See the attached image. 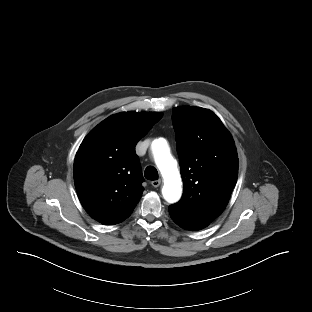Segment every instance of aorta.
Returning a JSON list of instances; mask_svg holds the SVG:
<instances>
[{
	"mask_svg": "<svg viewBox=\"0 0 312 312\" xmlns=\"http://www.w3.org/2000/svg\"><path fill=\"white\" fill-rule=\"evenodd\" d=\"M152 151L156 165L164 178L162 194L166 201L175 203L180 199L182 193V182L177 162L170 155L167 142L162 138L153 141Z\"/></svg>",
	"mask_w": 312,
	"mask_h": 312,
	"instance_id": "obj_1",
	"label": "aorta"
}]
</instances>
